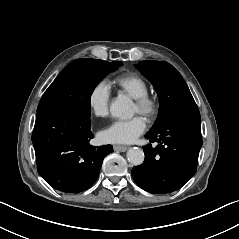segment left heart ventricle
<instances>
[{"label":"left heart ventricle","instance_id":"1","mask_svg":"<svg viewBox=\"0 0 239 239\" xmlns=\"http://www.w3.org/2000/svg\"><path fill=\"white\" fill-rule=\"evenodd\" d=\"M134 112H138V107H137L136 103H134Z\"/></svg>","mask_w":239,"mask_h":239}]
</instances>
